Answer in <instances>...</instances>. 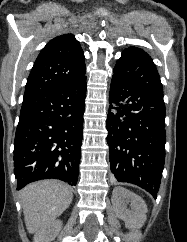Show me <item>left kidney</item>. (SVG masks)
Wrapping results in <instances>:
<instances>
[{
  "label": "left kidney",
  "mask_w": 187,
  "mask_h": 242,
  "mask_svg": "<svg viewBox=\"0 0 187 242\" xmlns=\"http://www.w3.org/2000/svg\"><path fill=\"white\" fill-rule=\"evenodd\" d=\"M111 201L116 216L125 222L126 227L140 228L144 225L147 206L141 197L122 187H115ZM128 203L131 209H127Z\"/></svg>",
  "instance_id": "1"
}]
</instances>
